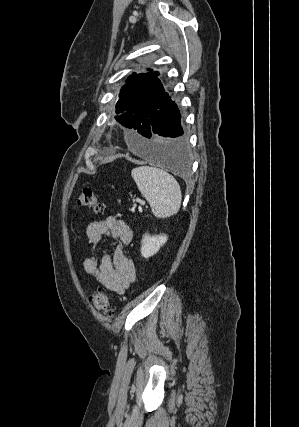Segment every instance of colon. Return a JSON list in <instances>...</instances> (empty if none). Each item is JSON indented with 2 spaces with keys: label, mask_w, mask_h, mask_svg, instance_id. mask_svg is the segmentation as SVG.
<instances>
[{
  "label": "colon",
  "mask_w": 299,
  "mask_h": 427,
  "mask_svg": "<svg viewBox=\"0 0 299 427\" xmlns=\"http://www.w3.org/2000/svg\"><path fill=\"white\" fill-rule=\"evenodd\" d=\"M76 207L83 210L98 211L100 203L97 195L91 189H83L76 200ZM92 303L97 311L110 317L113 315V306L109 302L108 296L98 291L92 296Z\"/></svg>",
  "instance_id": "1"
}]
</instances>
